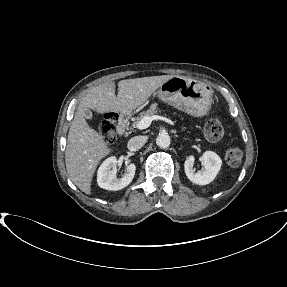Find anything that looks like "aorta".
<instances>
[{"label": "aorta", "instance_id": "obj_1", "mask_svg": "<svg viewBox=\"0 0 287 287\" xmlns=\"http://www.w3.org/2000/svg\"><path fill=\"white\" fill-rule=\"evenodd\" d=\"M156 144L160 148H167L171 144V138L167 133H161L156 138Z\"/></svg>", "mask_w": 287, "mask_h": 287}]
</instances>
